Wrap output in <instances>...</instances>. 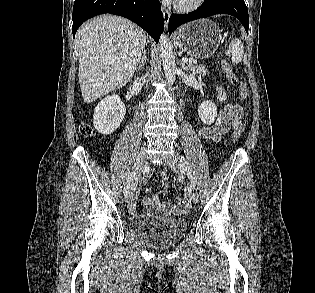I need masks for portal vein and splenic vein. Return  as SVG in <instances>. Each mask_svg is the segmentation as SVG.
I'll use <instances>...</instances> for the list:
<instances>
[{
  "mask_svg": "<svg viewBox=\"0 0 315 293\" xmlns=\"http://www.w3.org/2000/svg\"><path fill=\"white\" fill-rule=\"evenodd\" d=\"M182 62H183V63H188V62H189V59H188L187 57H183V58H182Z\"/></svg>",
  "mask_w": 315,
  "mask_h": 293,
  "instance_id": "18ae733b",
  "label": "portal vein and splenic vein"
}]
</instances>
